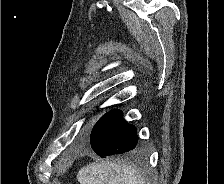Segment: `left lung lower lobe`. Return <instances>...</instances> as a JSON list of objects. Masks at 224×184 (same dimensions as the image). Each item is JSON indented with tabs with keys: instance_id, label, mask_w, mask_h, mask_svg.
Masks as SVG:
<instances>
[{
	"instance_id": "0a47b994",
	"label": "left lung lower lobe",
	"mask_w": 224,
	"mask_h": 184,
	"mask_svg": "<svg viewBox=\"0 0 224 184\" xmlns=\"http://www.w3.org/2000/svg\"><path fill=\"white\" fill-rule=\"evenodd\" d=\"M91 147L99 156L122 154L134 150L137 130L123 119L119 110L104 114L94 125L90 136Z\"/></svg>"
}]
</instances>
